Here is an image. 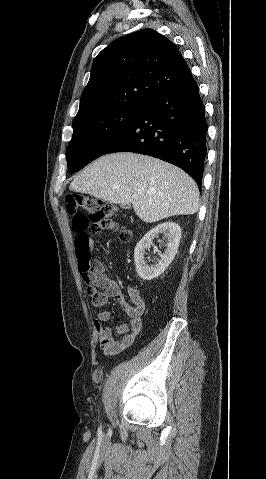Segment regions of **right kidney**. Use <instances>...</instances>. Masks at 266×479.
Here are the masks:
<instances>
[{
    "label": "right kidney",
    "mask_w": 266,
    "mask_h": 479,
    "mask_svg": "<svg viewBox=\"0 0 266 479\" xmlns=\"http://www.w3.org/2000/svg\"><path fill=\"white\" fill-rule=\"evenodd\" d=\"M163 233L166 238V250L161 259L154 266L146 264L144 259L145 249L152 244L153 239ZM181 239V228L175 222H164L151 229L136 245L134 250V261L136 271L143 280H152L161 275L173 261L177 254Z\"/></svg>",
    "instance_id": "ca27d5eb"
}]
</instances>
